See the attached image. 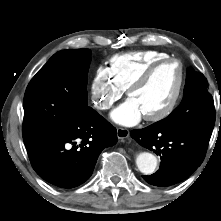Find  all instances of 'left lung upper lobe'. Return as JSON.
I'll use <instances>...</instances> for the list:
<instances>
[{
  "label": "left lung upper lobe",
  "instance_id": "obj_1",
  "mask_svg": "<svg viewBox=\"0 0 221 221\" xmlns=\"http://www.w3.org/2000/svg\"><path fill=\"white\" fill-rule=\"evenodd\" d=\"M208 82L203 74L189 69L184 96L178 108L155 124L163 130L198 128L212 131L215 124V108Z\"/></svg>",
  "mask_w": 221,
  "mask_h": 221
}]
</instances>
